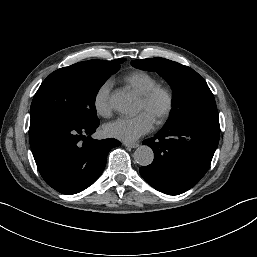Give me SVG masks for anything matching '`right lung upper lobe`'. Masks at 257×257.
<instances>
[{
    "instance_id": "cb5924a9",
    "label": "right lung upper lobe",
    "mask_w": 257,
    "mask_h": 257,
    "mask_svg": "<svg viewBox=\"0 0 257 257\" xmlns=\"http://www.w3.org/2000/svg\"><path fill=\"white\" fill-rule=\"evenodd\" d=\"M117 60L125 61V59H124V58H122V59H116V60H113V61L89 60L88 62H90V63H94V64H97V65H99V66H104V65H107V64L113 63V62H115V61H117Z\"/></svg>"
}]
</instances>
